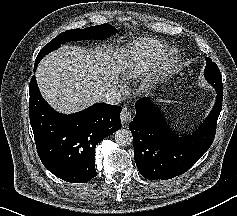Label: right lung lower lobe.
<instances>
[{
	"label": "right lung lower lobe",
	"instance_id": "obj_1",
	"mask_svg": "<svg viewBox=\"0 0 237 216\" xmlns=\"http://www.w3.org/2000/svg\"><path fill=\"white\" fill-rule=\"evenodd\" d=\"M29 92L30 123L43 165L64 181L88 182L97 175L95 147L121 128L122 108L95 104L76 114L63 115L42 98L35 76Z\"/></svg>",
	"mask_w": 237,
	"mask_h": 216
}]
</instances>
